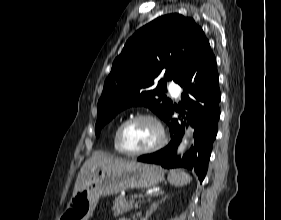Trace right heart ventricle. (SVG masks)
Returning <instances> with one entry per match:
<instances>
[{"instance_id":"e07e8e85","label":"right heart ventricle","mask_w":281,"mask_h":220,"mask_svg":"<svg viewBox=\"0 0 281 220\" xmlns=\"http://www.w3.org/2000/svg\"><path fill=\"white\" fill-rule=\"evenodd\" d=\"M119 126H117L113 132L112 135V149L115 153L117 154H122V152L118 149L117 144H116V132Z\"/></svg>"}]
</instances>
